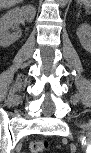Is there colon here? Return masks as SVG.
<instances>
[{"instance_id":"1","label":"colon","mask_w":91,"mask_h":153,"mask_svg":"<svg viewBox=\"0 0 91 153\" xmlns=\"http://www.w3.org/2000/svg\"><path fill=\"white\" fill-rule=\"evenodd\" d=\"M49 149V142L46 139H35L30 144V151L32 153H43Z\"/></svg>"}]
</instances>
